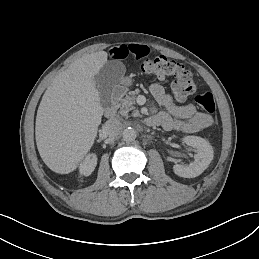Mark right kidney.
<instances>
[{
	"label": "right kidney",
	"instance_id": "obj_1",
	"mask_svg": "<svg viewBox=\"0 0 259 259\" xmlns=\"http://www.w3.org/2000/svg\"><path fill=\"white\" fill-rule=\"evenodd\" d=\"M97 165V156L95 154H88L79 165V172L81 175L89 176Z\"/></svg>",
	"mask_w": 259,
	"mask_h": 259
}]
</instances>
